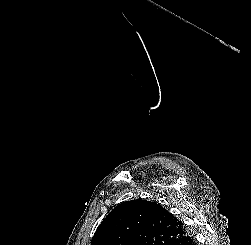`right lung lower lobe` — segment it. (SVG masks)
Returning a JSON list of instances; mask_svg holds the SVG:
<instances>
[{"mask_svg": "<svg viewBox=\"0 0 251 245\" xmlns=\"http://www.w3.org/2000/svg\"><path fill=\"white\" fill-rule=\"evenodd\" d=\"M172 245H196V242L193 236L187 231L183 237L172 243Z\"/></svg>", "mask_w": 251, "mask_h": 245, "instance_id": "obj_1", "label": "right lung lower lobe"}]
</instances>
